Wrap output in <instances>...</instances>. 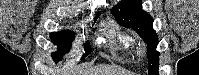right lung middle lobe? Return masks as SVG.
I'll use <instances>...</instances> for the list:
<instances>
[{
	"instance_id": "obj_1",
	"label": "right lung middle lobe",
	"mask_w": 199,
	"mask_h": 75,
	"mask_svg": "<svg viewBox=\"0 0 199 75\" xmlns=\"http://www.w3.org/2000/svg\"><path fill=\"white\" fill-rule=\"evenodd\" d=\"M99 14H97V17ZM96 20V19H95ZM52 42L58 46V52L52 53V58L55 62H58L62 59L64 52L68 51L71 47V43L75 38V33L70 31H61L51 33ZM85 54H83L81 59H84L90 52V45L85 44L84 46Z\"/></svg>"
}]
</instances>
